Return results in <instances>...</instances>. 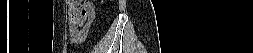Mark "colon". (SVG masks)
<instances>
[{"label": "colon", "instance_id": "obj_1", "mask_svg": "<svg viewBox=\"0 0 253 53\" xmlns=\"http://www.w3.org/2000/svg\"><path fill=\"white\" fill-rule=\"evenodd\" d=\"M68 23L70 27L83 28L90 25L89 17L91 9L87 5L89 1H69Z\"/></svg>", "mask_w": 253, "mask_h": 53}]
</instances>
